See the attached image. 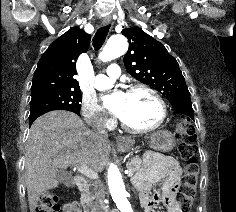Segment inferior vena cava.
I'll return each instance as SVG.
<instances>
[{
    "label": "inferior vena cava",
    "mask_w": 236,
    "mask_h": 212,
    "mask_svg": "<svg viewBox=\"0 0 236 212\" xmlns=\"http://www.w3.org/2000/svg\"><path fill=\"white\" fill-rule=\"evenodd\" d=\"M94 133L101 138H108V134L104 125H101L97 130H95ZM97 184L99 185V191L97 194V212H102L104 191L101 189V181H98Z\"/></svg>",
    "instance_id": "inferior-vena-cava-1"
}]
</instances>
